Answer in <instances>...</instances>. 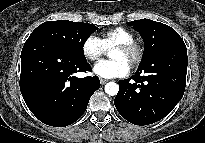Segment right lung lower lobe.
<instances>
[{"instance_id":"obj_1","label":"right lung lower lobe","mask_w":205,"mask_h":143,"mask_svg":"<svg viewBox=\"0 0 205 143\" xmlns=\"http://www.w3.org/2000/svg\"><path fill=\"white\" fill-rule=\"evenodd\" d=\"M91 70L86 59L51 41L29 37L21 52L20 90L24 101L44 124L70 125L83 115L90 97L100 87L97 76H74Z\"/></svg>"}]
</instances>
